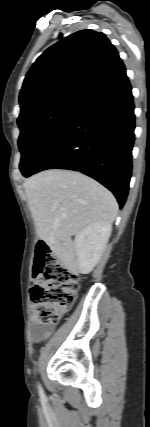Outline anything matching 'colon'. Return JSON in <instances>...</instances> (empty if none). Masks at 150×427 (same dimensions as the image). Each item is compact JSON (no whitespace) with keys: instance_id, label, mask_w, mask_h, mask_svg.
Wrapping results in <instances>:
<instances>
[{"instance_id":"1","label":"colon","mask_w":150,"mask_h":427,"mask_svg":"<svg viewBox=\"0 0 150 427\" xmlns=\"http://www.w3.org/2000/svg\"><path fill=\"white\" fill-rule=\"evenodd\" d=\"M36 283L31 289V317L35 324L52 326L69 310L79 290V277L40 241L34 265Z\"/></svg>"}]
</instances>
